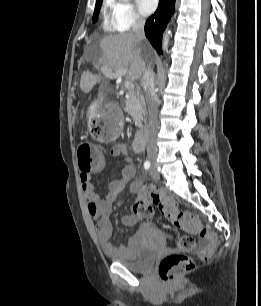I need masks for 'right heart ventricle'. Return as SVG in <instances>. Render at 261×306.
Here are the masks:
<instances>
[{
	"label": "right heart ventricle",
	"mask_w": 261,
	"mask_h": 306,
	"mask_svg": "<svg viewBox=\"0 0 261 306\" xmlns=\"http://www.w3.org/2000/svg\"><path fill=\"white\" fill-rule=\"evenodd\" d=\"M108 7L109 5L107 4V6H104L103 7V16H104V22H103V25H104V29L106 31H113L114 28L112 27L111 25V21L109 19V15H108Z\"/></svg>",
	"instance_id": "obj_1"
}]
</instances>
